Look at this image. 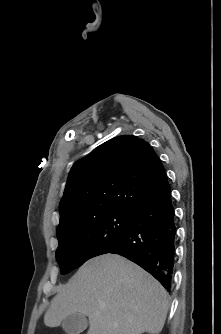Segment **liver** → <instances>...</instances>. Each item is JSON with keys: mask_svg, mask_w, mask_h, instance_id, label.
<instances>
[{"mask_svg": "<svg viewBox=\"0 0 221 334\" xmlns=\"http://www.w3.org/2000/svg\"><path fill=\"white\" fill-rule=\"evenodd\" d=\"M169 307L164 287L132 261L103 254L82 265L51 300L44 324L58 327L69 315L89 319L87 334H159Z\"/></svg>", "mask_w": 221, "mask_h": 334, "instance_id": "1", "label": "liver"}]
</instances>
